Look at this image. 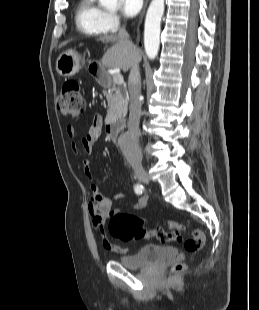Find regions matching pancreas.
I'll return each mask as SVG.
<instances>
[{
	"mask_svg": "<svg viewBox=\"0 0 259 310\" xmlns=\"http://www.w3.org/2000/svg\"><path fill=\"white\" fill-rule=\"evenodd\" d=\"M103 94L106 96L108 102V111L105 122H123L127 114L128 99L124 97L120 87L113 85L111 91L103 90Z\"/></svg>",
	"mask_w": 259,
	"mask_h": 310,
	"instance_id": "cf45deb5",
	"label": "pancreas"
}]
</instances>
